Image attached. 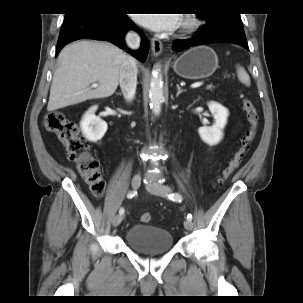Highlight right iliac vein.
<instances>
[{
    "instance_id": "1",
    "label": "right iliac vein",
    "mask_w": 303,
    "mask_h": 303,
    "mask_svg": "<svg viewBox=\"0 0 303 303\" xmlns=\"http://www.w3.org/2000/svg\"><path fill=\"white\" fill-rule=\"evenodd\" d=\"M141 184V177L140 175H135L131 180V185L133 189H138ZM123 216L122 215H116L112 220V226L117 227L122 222Z\"/></svg>"
}]
</instances>
